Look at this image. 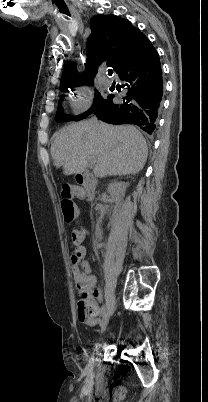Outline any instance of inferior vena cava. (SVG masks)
Segmentation results:
<instances>
[{
	"label": "inferior vena cava",
	"instance_id": "1",
	"mask_svg": "<svg viewBox=\"0 0 208 402\" xmlns=\"http://www.w3.org/2000/svg\"><path fill=\"white\" fill-rule=\"evenodd\" d=\"M91 126H98L99 122L97 120V118H95V116H93V118H91V120H89Z\"/></svg>",
	"mask_w": 208,
	"mask_h": 402
}]
</instances>
